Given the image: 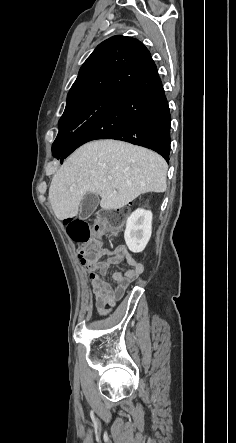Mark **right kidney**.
Returning a JSON list of instances; mask_svg holds the SVG:
<instances>
[{"mask_svg": "<svg viewBox=\"0 0 236 443\" xmlns=\"http://www.w3.org/2000/svg\"><path fill=\"white\" fill-rule=\"evenodd\" d=\"M152 233V212L144 209L135 210L127 219L124 233L125 242L130 251L138 253L145 249Z\"/></svg>", "mask_w": 236, "mask_h": 443, "instance_id": "right-kidney-1", "label": "right kidney"}]
</instances>
